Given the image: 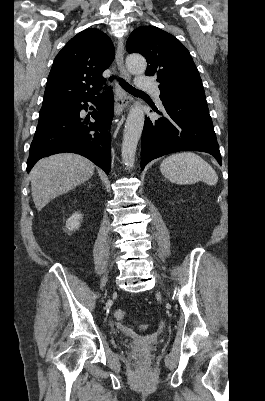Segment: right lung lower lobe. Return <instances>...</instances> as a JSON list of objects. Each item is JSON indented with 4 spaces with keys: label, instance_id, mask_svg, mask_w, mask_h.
<instances>
[{
    "label": "right lung lower lobe",
    "instance_id": "obj_1",
    "mask_svg": "<svg viewBox=\"0 0 265 401\" xmlns=\"http://www.w3.org/2000/svg\"><path fill=\"white\" fill-rule=\"evenodd\" d=\"M87 101L95 102V96L76 102L67 110H51L40 114L36 132L29 150L27 172L41 158L52 154L73 152L85 156L107 174L110 171V125L113 117V93L111 87L97 109L89 118L79 113L87 110ZM95 121H94V120Z\"/></svg>",
    "mask_w": 265,
    "mask_h": 401
}]
</instances>
